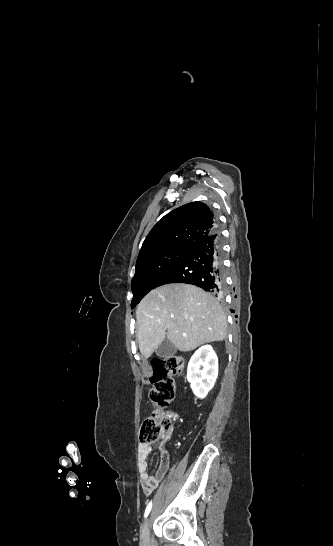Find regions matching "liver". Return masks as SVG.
Here are the masks:
<instances>
[{
    "mask_svg": "<svg viewBox=\"0 0 333 546\" xmlns=\"http://www.w3.org/2000/svg\"><path fill=\"white\" fill-rule=\"evenodd\" d=\"M141 354L149 358L165 340L182 351L226 337L227 319L219 302L199 287L171 283L150 291L136 310Z\"/></svg>",
    "mask_w": 333,
    "mask_h": 546,
    "instance_id": "1",
    "label": "liver"
}]
</instances>
